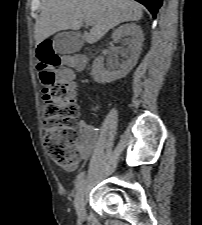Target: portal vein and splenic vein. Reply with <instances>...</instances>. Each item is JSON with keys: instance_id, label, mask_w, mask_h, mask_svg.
I'll return each instance as SVG.
<instances>
[{"instance_id": "1", "label": "portal vein and splenic vein", "mask_w": 202, "mask_h": 225, "mask_svg": "<svg viewBox=\"0 0 202 225\" xmlns=\"http://www.w3.org/2000/svg\"><path fill=\"white\" fill-rule=\"evenodd\" d=\"M85 22H86L87 25H90V21L89 20H86Z\"/></svg>"}]
</instances>
